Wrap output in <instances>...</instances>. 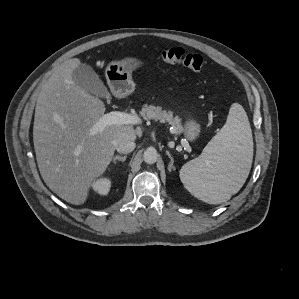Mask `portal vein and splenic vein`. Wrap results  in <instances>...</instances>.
Listing matches in <instances>:
<instances>
[{
  "mask_svg": "<svg viewBox=\"0 0 299 299\" xmlns=\"http://www.w3.org/2000/svg\"><path fill=\"white\" fill-rule=\"evenodd\" d=\"M136 123H138L137 118L131 114L111 111L100 117V119L93 125L91 133H101L108 125H133Z\"/></svg>",
  "mask_w": 299,
  "mask_h": 299,
  "instance_id": "portal-vein-and-splenic-vein-1",
  "label": "portal vein and splenic vein"
}]
</instances>
